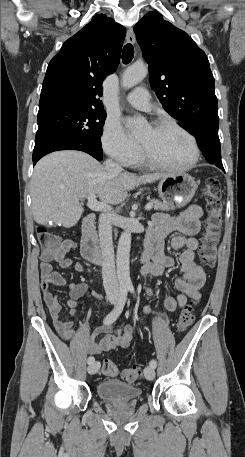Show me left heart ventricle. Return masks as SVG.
<instances>
[{
	"instance_id": "1",
	"label": "left heart ventricle",
	"mask_w": 245,
	"mask_h": 457,
	"mask_svg": "<svg viewBox=\"0 0 245 457\" xmlns=\"http://www.w3.org/2000/svg\"><path fill=\"white\" fill-rule=\"evenodd\" d=\"M136 142L144 153L168 165L181 166L191 158L189 139L174 128L156 130L149 127Z\"/></svg>"
}]
</instances>
